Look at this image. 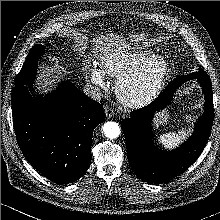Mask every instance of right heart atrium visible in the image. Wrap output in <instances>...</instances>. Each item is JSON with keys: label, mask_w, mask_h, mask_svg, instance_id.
<instances>
[{"label": "right heart atrium", "mask_w": 220, "mask_h": 220, "mask_svg": "<svg viewBox=\"0 0 220 220\" xmlns=\"http://www.w3.org/2000/svg\"><path fill=\"white\" fill-rule=\"evenodd\" d=\"M84 73L92 83L99 86L105 85V74L100 68L93 65H85Z\"/></svg>", "instance_id": "d8ad5b80"}]
</instances>
